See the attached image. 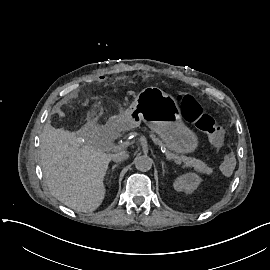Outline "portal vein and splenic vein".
Listing matches in <instances>:
<instances>
[{
  "label": "portal vein and splenic vein",
  "mask_w": 270,
  "mask_h": 270,
  "mask_svg": "<svg viewBox=\"0 0 270 270\" xmlns=\"http://www.w3.org/2000/svg\"><path fill=\"white\" fill-rule=\"evenodd\" d=\"M131 145V142L129 140H126L125 142H121L120 144H116L112 149H111V152L112 153H115V152H118L120 149H124L125 147H129ZM174 160V164H182L179 160L178 161H175V159L173 158ZM184 165V164H182Z\"/></svg>",
  "instance_id": "1"
}]
</instances>
